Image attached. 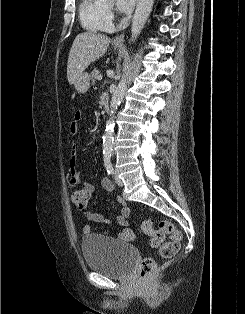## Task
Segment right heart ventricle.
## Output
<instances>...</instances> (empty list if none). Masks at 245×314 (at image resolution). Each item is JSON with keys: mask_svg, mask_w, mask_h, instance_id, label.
Segmentation results:
<instances>
[{"mask_svg": "<svg viewBox=\"0 0 245 314\" xmlns=\"http://www.w3.org/2000/svg\"><path fill=\"white\" fill-rule=\"evenodd\" d=\"M78 13L82 26L90 32H106L112 29L106 9L95 0H81Z\"/></svg>", "mask_w": 245, "mask_h": 314, "instance_id": "obj_1", "label": "right heart ventricle"}]
</instances>
